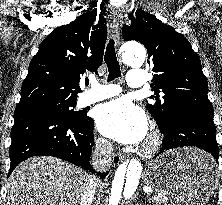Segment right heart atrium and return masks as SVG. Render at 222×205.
Listing matches in <instances>:
<instances>
[{"mask_svg":"<svg viewBox=\"0 0 222 205\" xmlns=\"http://www.w3.org/2000/svg\"><path fill=\"white\" fill-rule=\"evenodd\" d=\"M97 146L102 150V151H108L110 146H109V143L106 139L102 138V137H99L97 138Z\"/></svg>","mask_w":222,"mask_h":205,"instance_id":"right-heart-atrium-1","label":"right heart atrium"}]
</instances>
